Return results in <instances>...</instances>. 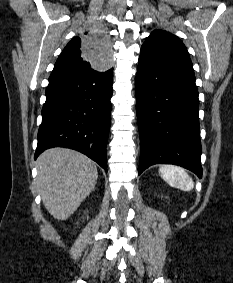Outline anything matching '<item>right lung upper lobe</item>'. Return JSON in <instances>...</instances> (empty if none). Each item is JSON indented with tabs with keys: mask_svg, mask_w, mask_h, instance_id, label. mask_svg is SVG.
<instances>
[{
	"mask_svg": "<svg viewBox=\"0 0 233 283\" xmlns=\"http://www.w3.org/2000/svg\"><path fill=\"white\" fill-rule=\"evenodd\" d=\"M111 38L102 28L85 31L74 37L58 57L53 71L88 68L108 70L114 59L115 49H110ZM101 59V60H99Z\"/></svg>",
	"mask_w": 233,
	"mask_h": 283,
	"instance_id": "right-lung-upper-lobe-1",
	"label": "right lung upper lobe"
}]
</instances>
